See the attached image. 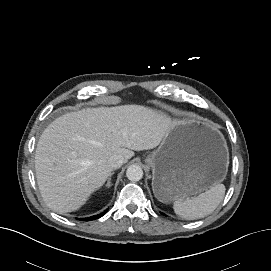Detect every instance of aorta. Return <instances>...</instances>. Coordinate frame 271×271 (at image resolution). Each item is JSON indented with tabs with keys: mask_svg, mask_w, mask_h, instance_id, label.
Listing matches in <instances>:
<instances>
[{
	"mask_svg": "<svg viewBox=\"0 0 271 271\" xmlns=\"http://www.w3.org/2000/svg\"><path fill=\"white\" fill-rule=\"evenodd\" d=\"M126 176L130 181L134 182L139 181L143 177V170L137 164L130 165L127 168Z\"/></svg>",
	"mask_w": 271,
	"mask_h": 271,
	"instance_id": "obj_1",
	"label": "aorta"
}]
</instances>
